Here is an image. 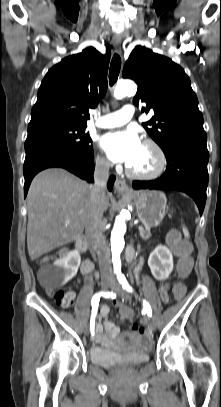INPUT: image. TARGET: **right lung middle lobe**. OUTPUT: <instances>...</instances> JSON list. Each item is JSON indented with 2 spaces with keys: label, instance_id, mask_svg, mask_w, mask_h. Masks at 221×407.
Returning <instances> with one entry per match:
<instances>
[{
  "label": "right lung middle lobe",
  "instance_id": "1",
  "mask_svg": "<svg viewBox=\"0 0 221 407\" xmlns=\"http://www.w3.org/2000/svg\"><path fill=\"white\" fill-rule=\"evenodd\" d=\"M86 125L48 124L28 128L25 151L37 144H55L74 151L81 157H91L93 147Z\"/></svg>",
  "mask_w": 221,
  "mask_h": 407
}]
</instances>
